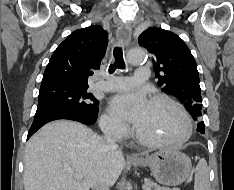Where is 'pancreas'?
Here are the masks:
<instances>
[{
  "label": "pancreas",
  "instance_id": "1",
  "mask_svg": "<svg viewBox=\"0 0 234 190\" xmlns=\"http://www.w3.org/2000/svg\"><path fill=\"white\" fill-rule=\"evenodd\" d=\"M145 185L148 187H152L154 188V190H180L178 188H173V189H169V188H163L158 186L157 184L153 183L151 180L149 179H145Z\"/></svg>",
  "mask_w": 234,
  "mask_h": 190
}]
</instances>
